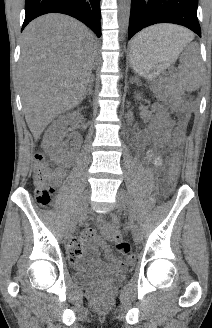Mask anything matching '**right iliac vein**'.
Wrapping results in <instances>:
<instances>
[{"mask_svg": "<svg viewBox=\"0 0 212 328\" xmlns=\"http://www.w3.org/2000/svg\"><path fill=\"white\" fill-rule=\"evenodd\" d=\"M89 198H90V190H86L82 196V199H81L79 205H78L76 215L68 226V230H67L68 238H70L72 236L78 219L83 215L84 211L86 210L88 203H89Z\"/></svg>", "mask_w": 212, "mask_h": 328, "instance_id": "1", "label": "right iliac vein"}]
</instances>
